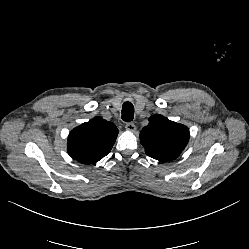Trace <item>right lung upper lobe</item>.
<instances>
[{
    "label": "right lung upper lobe",
    "instance_id": "obj_1",
    "mask_svg": "<svg viewBox=\"0 0 249 249\" xmlns=\"http://www.w3.org/2000/svg\"><path fill=\"white\" fill-rule=\"evenodd\" d=\"M118 132L112 122L96 117L70 132L68 153L80 163H96L109 154Z\"/></svg>",
    "mask_w": 249,
    "mask_h": 249
}]
</instances>
